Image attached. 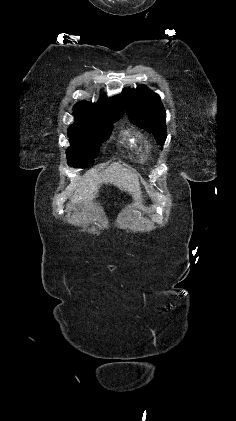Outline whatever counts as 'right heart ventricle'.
<instances>
[{
    "mask_svg": "<svg viewBox=\"0 0 236 421\" xmlns=\"http://www.w3.org/2000/svg\"><path fill=\"white\" fill-rule=\"evenodd\" d=\"M127 144L130 148L137 146V139L131 135H127Z\"/></svg>",
    "mask_w": 236,
    "mask_h": 421,
    "instance_id": "obj_1",
    "label": "right heart ventricle"
}]
</instances>
